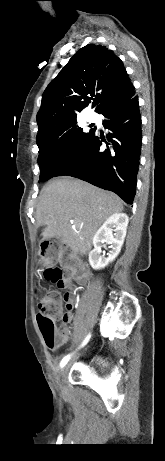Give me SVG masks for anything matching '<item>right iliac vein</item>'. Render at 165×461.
Listing matches in <instances>:
<instances>
[{"mask_svg":"<svg viewBox=\"0 0 165 461\" xmlns=\"http://www.w3.org/2000/svg\"><path fill=\"white\" fill-rule=\"evenodd\" d=\"M74 360H75V358H74L71 362L67 363V364L64 366V368H63V370H62V378H63L62 381H63V382H64L65 375L67 374V372H68V370H69V368H70V366H71V364H72V362H73Z\"/></svg>","mask_w":165,"mask_h":461,"instance_id":"1","label":"right iliac vein"}]
</instances>
